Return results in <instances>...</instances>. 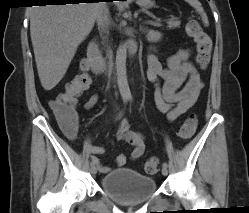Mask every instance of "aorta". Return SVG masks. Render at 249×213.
Returning <instances> with one entry per match:
<instances>
[{
    "instance_id": "1",
    "label": "aorta",
    "mask_w": 249,
    "mask_h": 213,
    "mask_svg": "<svg viewBox=\"0 0 249 213\" xmlns=\"http://www.w3.org/2000/svg\"><path fill=\"white\" fill-rule=\"evenodd\" d=\"M127 49L125 44L119 45L116 53V71H117V82L122 97L127 98L131 96L127 81V70H126V57Z\"/></svg>"
}]
</instances>
